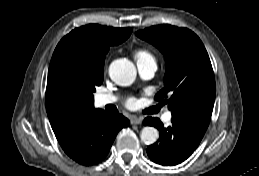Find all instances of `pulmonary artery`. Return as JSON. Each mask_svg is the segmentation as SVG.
<instances>
[{"instance_id": "1", "label": "pulmonary artery", "mask_w": 259, "mask_h": 176, "mask_svg": "<svg viewBox=\"0 0 259 176\" xmlns=\"http://www.w3.org/2000/svg\"><path fill=\"white\" fill-rule=\"evenodd\" d=\"M138 71L139 74L141 75L142 78L144 79H149L154 76L156 70H157V65L155 61H148V62H143V63H138ZM117 98L113 95L109 94H101L96 97V102L100 106L112 104L116 102ZM171 113L167 112L163 116V121L165 123H169L171 121Z\"/></svg>"}]
</instances>
